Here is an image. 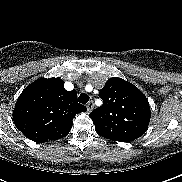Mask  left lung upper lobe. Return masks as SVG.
Here are the masks:
<instances>
[{"mask_svg":"<svg viewBox=\"0 0 182 182\" xmlns=\"http://www.w3.org/2000/svg\"><path fill=\"white\" fill-rule=\"evenodd\" d=\"M99 96L103 105L89 115L99 135L129 142L146 132L151 117L150 106L136 86L118 77L111 78Z\"/></svg>","mask_w":182,"mask_h":182,"instance_id":"5c2ea615","label":"left lung upper lobe"}]
</instances>
